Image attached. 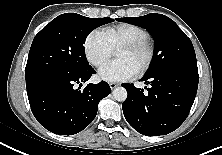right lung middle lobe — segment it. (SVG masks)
<instances>
[{
	"mask_svg": "<svg viewBox=\"0 0 222 155\" xmlns=\"http://www.w3.org/2000/svg\"><path fill=\"white\" fill-rule=\"evenodd\" d=\"M76 13L59 15L34 38L25 68L26 87L52 75H73L90 67L84 49L88 34L113 22Z\"/></svg>",
	"mask_w": 222,
	"mask_h": 155,
	"instance_id": "1",
	"label": "right lung middle lobe"
}]
</instances>
